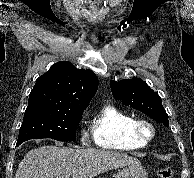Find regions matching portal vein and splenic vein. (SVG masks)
<instances>
[{
    "instance_id": "1",
    "label": "portal vein and splenic vein",
    "mask_w": 194,
    "mask_h": 178,
    "mask_svg": "<svg viewBox=\"0 0 194 178\" xmlns=\"http://www.w3.org/2000/svg\"><path fill=\"white\" fill-rule=\"evenodd\" d=\"M62 178H69V176H66V177H62Z\"/></svg>"
}]
</instances>
